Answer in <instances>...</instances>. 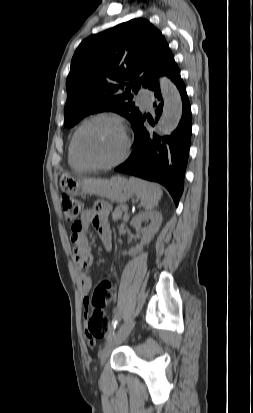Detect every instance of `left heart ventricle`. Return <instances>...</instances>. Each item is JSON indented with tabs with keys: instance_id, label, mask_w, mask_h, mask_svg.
Here are the masks:
<instances>
[{
	"instance_id": "obj_1",
	"label": "left heart ventricle",
	"mask_w": 253,
	"mask_h": 413,
	"mask_svg": "<svg viewBox=\"0 0 253 413\" xmlns=\"http://www.w3.org/2000/svg\"><path fill=\"white\" fill-rule=\"evenodd\" d=\"M123 145L119 127L110 121L92 122L79 136L81 154L94 163H106L116 159L121 154Z\"/></svg>"
}]
</instances>
